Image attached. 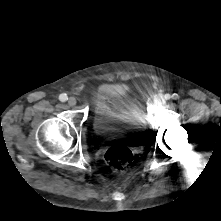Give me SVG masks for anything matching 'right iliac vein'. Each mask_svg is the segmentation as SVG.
<instances>
[{"mask_svg": "<svg viewBox=\"0 0 221 221\" xmlns=\"http://www.w3.org/2000/svg\"><path fill=\"white\" fill-rule=\"evenodd\" d=\"M76 103H77V100H76L75 97H70V98L68 99V104H69L70 106H74V105H76Z\"/></svg>", "mask_w": 221, "mask_h": 221, "instance_id": "obj_1", "label": "right iliac vein"}]
</instances>
